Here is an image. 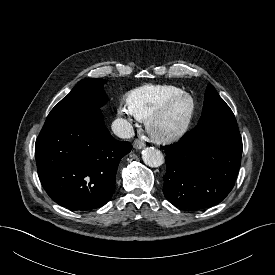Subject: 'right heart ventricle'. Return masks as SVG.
Listing matches in <instances>:
<instances>
[{
  "instance_id": "obj_1",
  "label": "right heart ventricle",
  "mask_w": 275,
  "mask_h": 275,
  "mask_svg": "<svg viewBox=\"0 0 275 275\" xmlns=\"http://www.w3.org/2000/svg\"><path fill=\"white\" fill-rule=\"evenodd\" d=\"M182 92L173 85H144L131 91L126 99L132 115L145 119L155 108Z\"/></svg>"
}]
</instances>
